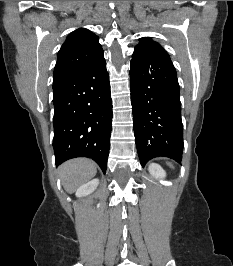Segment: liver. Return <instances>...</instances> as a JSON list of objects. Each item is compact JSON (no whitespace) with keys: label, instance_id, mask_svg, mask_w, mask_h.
I'll return each instance as SVG.
<instances>
[{"label":"liver","instance_id":"1","mask_svg":"<svg viewBox=\"0 0 233 266\" xmlns=\"http://www.w3.org/2000/svg\"><path fill=\"white\" fill-rule=\"evenodd\" d=\"M96 173L97 167L95 162L86 158L72 159L59 167L62 185L70 194L92 179Z\"/></svg>","mask_w":233,"mask_h":266}]
</instances>
